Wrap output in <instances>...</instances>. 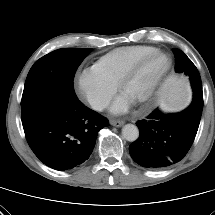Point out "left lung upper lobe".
Returning <instances> with one entry per match:
<instances>
[{
	"label": "left lung upper lobe",
	"mask_w": 215,
	"mask_h": 215,
	"mask_svg": "<svg viewBox=\"0 0 215 215\" xmlns=\"http://www.w3.org/2000/svg\"><path fill=\"white\" fill-rule=\"evenodd\" d=\"M176 57L175 71L189 76L194 94H202L200 74L193 62L179 49H173Z\"/></svg>",
	"instance_id": "left-lung-upper-lobe-1"
}]
</instances>
